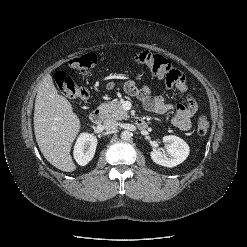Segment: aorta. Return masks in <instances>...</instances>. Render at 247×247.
Instances as JSON below:
<instances>
[{
    "instance_id": "1",
    "label": "aorta",
    "mask_w": 247,
    "mask_h": 247,
    "mask_svg": "<svg viewBox=\"0 0 247 247\" xmlns=\"http://www.w3.org/2000/svg\"><path fill=\"white\" fill-rule=\"evenodd\" d=\"M132 137V133L128 130H124L121 132V139L122 140H129Z\"/></svg>"
}]
</instances>
